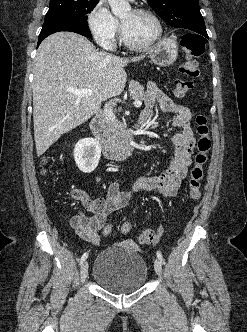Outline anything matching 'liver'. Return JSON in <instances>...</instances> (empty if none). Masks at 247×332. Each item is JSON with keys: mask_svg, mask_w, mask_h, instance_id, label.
<instances>
[{"mask_svg": "<svg viewBox=\"0 0 247 332\" xmlns=\"http://www.w3.org/2000/svg\"><path fill=\"white\" fill-rule=\"evenodd\" d=\"M142 59L97 51L88 39L73 32L47 37L37 50L32 85L37 156L89 120L102 101L120 95L127 81L124 67ZM72 89H90L92 95L81 97Z\"/></svg>", "mask_w": 247, "mask_h": 332, "instance_id": "obj_1", "label": "liver"}]
</instances>
